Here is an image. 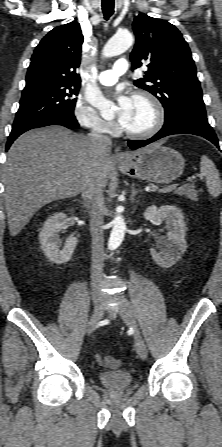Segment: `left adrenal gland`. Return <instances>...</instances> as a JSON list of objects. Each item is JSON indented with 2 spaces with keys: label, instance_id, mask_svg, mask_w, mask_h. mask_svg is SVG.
I'll return each mask as SVG.
<instances>
[{
  "label": "left adrenal gland",
  "instance_id": "a2214340",
  "mask_svg": "<svg viewBox=\"0 0 222 447\" xmlns=\"http://www.w3.org/2000/svg\"><path fill=\"white\" fill-rule=\"evenodd\" d=\"M140 192H142V190H140V189H136V188H135V185L133 184V185H132V190H131V195H130V200H131L132 203L135 201V196H136L138 193H140Z\"/></svg>",
  "mask_w": 222,
  "mask_h": 447
}]
</instances>
